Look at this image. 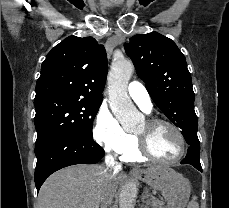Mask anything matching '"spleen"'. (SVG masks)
I'll use <instances>...</instances> for the list:
<instances>
[{"label": "spleen", "instance_id": "spleen-1", "mask_svg": "<svg viewBox=\"0 0 229 208\" xmlns=\"http://www.w3.org/2000/svg\"><path fill=\"white\" fill-rule=\"evenodd\" d=\"M196 200V198H194ZM188 208H199V204L197 202H190Z\"/></svg>", "mask_w": 229, "mask_h": 208}]
</instances>
